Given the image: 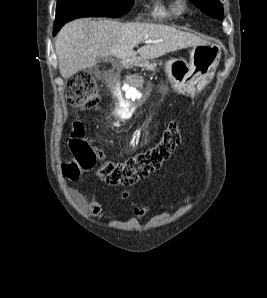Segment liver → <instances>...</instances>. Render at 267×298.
I'll use <instances>...</instances> for the list:
<instances>
[{
    "label": "liver",
    "instance_id": "1",
    "mask_svg": "<svg viewBox=\"0 0 267 298\" xmlns=\"http://www.w3.org/2000/svg\"><path fill=\"white\" fill-rule=\"evenodd\" d=\"M146 40L153 42L134 51L136 45ZM205 43L206 40L194 34L168 25L81 18L63 26L57 35L55 51L60 74L67 79L93 67L97 58L114 56L130 61L139 54L141 59L149 60Z\"/></svg>",
    "mask_w": 267,
    "mask_h": 298
}]
</instances>
